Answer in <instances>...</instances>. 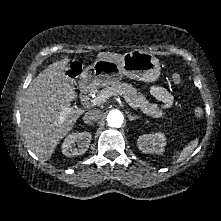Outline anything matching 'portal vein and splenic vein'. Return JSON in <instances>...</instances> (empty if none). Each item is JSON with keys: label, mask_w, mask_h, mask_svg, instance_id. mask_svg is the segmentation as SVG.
Returning <instances> with one entry per match:
<instances>
[{"label": "portal vein and splenic vein", "mask_w": 221, "mask_h": 221, "mask_svg": "<svg viewBox=\"0 0 221 221\" xmlns=\"http://www.w3.org/2000/svg\"><path fill=\"white\" fill-rule=\"evenodd\" d=\"M122 97L124 98V100L134 109L137 110V107L134 105V103L132 102V100L126 96L125 94H121ZM108 99L107 95H100L98 97H96L95 99L92 100V104L96 105V104H101L106 102V100ZM73 110V108L71 107H65L62 110V114H67L69 112H71ZM63 117L60 118V121H63Z\"/></svg>", "instance_id": "1"}]
</instances>
